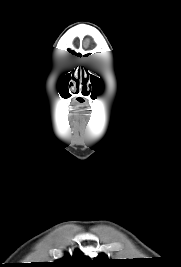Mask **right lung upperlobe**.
I'll list each match as a JSON object with an SVG mask.
<instances>
[{"instance_id":"obj_1","label":"right lung upper lobe","mask_w":181,"mask_h":267,"mask_svg":"<svg viewBox=\"0 0 181 267\" xmlns=\"http://www.w3.org/2000/svg\"><path fill=\"white\" fill-rule=\"evenodd\" d=\"M90 263V259L84 256L81 252L75 251L71 257L69 254H66L61 260H56L50 262L52 267H85Z\"/></svg>"}]
</instances>
